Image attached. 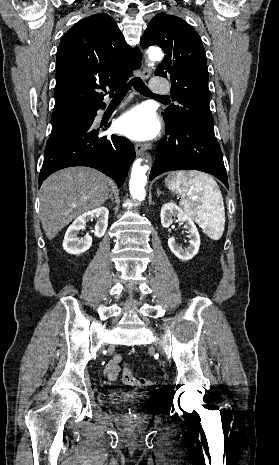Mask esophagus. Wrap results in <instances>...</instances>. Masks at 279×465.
Returning <instances> with one entry per match:
<instances>
[{"instance_id": "1", "label": "esophagus", "mask_w": 279, "mask_h": 465, "mask_svg": "<svg viewBox=\"0 0 279 465\" xmlns=\"http://www.w3.org/2000/svg\"><path fill=\"white\" fill-rule=\"evenodd\" d=\"M150 75H151L150 68L143 67L141 77L143 79H148ZM149 149H151V144H148V143H144V144L137 143L135 145V151L137 155H141L142 153H144L146 150H149Z\"/></svg>"}]
</instances>
